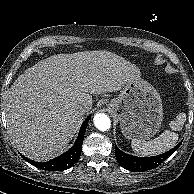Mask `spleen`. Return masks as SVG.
Instances as JSON below:
<instances>
[{"instance_id": "1", "label": "spleen", "mask_w": 194, "mask_h": 194, "mask_svg": "<svg viewBox=\"0 0 194 194\" xmlns=\"http://www.w3.org/2000/svg\"><path fill=\"white\" fill-rule=\"evenodd\" d=\"M186 121V114L180 113L176 116V119L171 121L169 126L173 131H180ZM178 134L169 130H165L159 137L151 140L144 141L140 139H133L131 147L137 155L140 156H152L161 154L171 148H173L178 141Z\"/></svg>"}]
</instances>
